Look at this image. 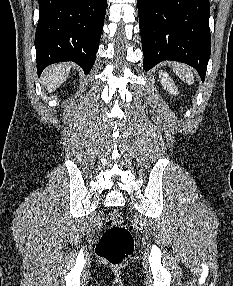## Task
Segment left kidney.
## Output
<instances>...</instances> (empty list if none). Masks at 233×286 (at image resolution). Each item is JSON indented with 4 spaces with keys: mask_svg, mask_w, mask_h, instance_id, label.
Here are the masks:
<instances>
[{
    "mask_svg": "<svg viewBox=\"0 0 233 286\" xmlns=\"http://www.w3.org/2000/svg\"><path fill=\"white\" fill-rule=\"evenodd\" d=\"M160 82L165 90L173 95H178V89L171 77L164 71H159Z\"/></svg>",
    "mask_w": 233,
    "mask_h": 286,
    "instance_id": "obj_1",
    "label": "left kidney"
}]
</instances>
